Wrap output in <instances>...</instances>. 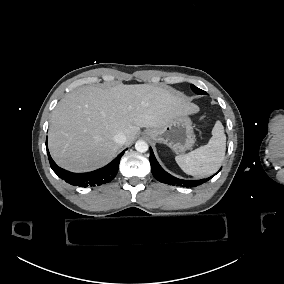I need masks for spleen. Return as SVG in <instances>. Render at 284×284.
<instances>
[{
    "label": "spleen",
    "instance_id": "spleen-1",
    "mask_svg": "<svg viewBox=\"0 0 284 284\" xmlns=\"http://www.w3.org/2000/svg\"><path fill=\"white\" fill-rule=\"evenodd\" d=\"M213 136L209 143L175 157L181 170L196 178L206 177L216 172L221 166L225 155L226 135L223 126L217 122L213 128Z\"/></svg>",
    "mask_w": 284,
    "mask_h": 284
}]
</instances>
